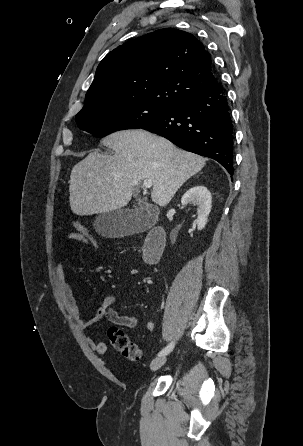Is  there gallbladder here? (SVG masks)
I'll return each instance as SVG.
<instances>
[{"label": "gallbladder", "instance_id": "bac80fb5", "mask_svg": "<svg viewBox=\"0 0 303 446\" xmlns=\"http://www.w3.org/2000/svg\"><path fill=\"white\" fill-rule=\"evenodd\" d=\"M150 221V217L140 208L119 209L98 216L94 228L102 236L116 237L144 229Z\"/></svg>", "mask_w": 303, "mask_h": 446}]
</instances>
